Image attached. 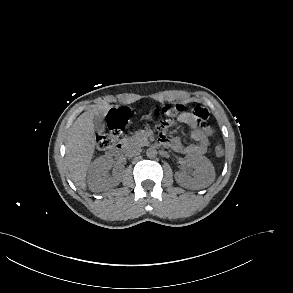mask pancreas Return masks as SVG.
<instances>
[{"label": "pancreas", "mask_w": 293, "mask_h": 293, "mask_svg": "<svg viewBox=\"0 0 293 293\" xmlns=\"http://www.w3.org/2000/svg\"><path fill=\"white\" fill-rule=\"evenodd\" d=\"M124 143L129 146H145L148 144V136L145 130L136 131L134 135L126 138Z\"/></svg>", "instance_id": "1"}]
</instances>
